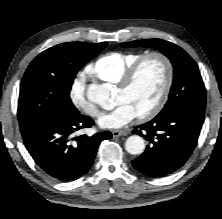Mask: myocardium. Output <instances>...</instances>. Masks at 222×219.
<instances>
[{
    "label": "myocardium",
    "instance_id": "obj_1",
    "mask_svg": "<svg viewBox=\"0 0 222 219\" xmlns=\"http://www.w3.org/2000/svg\"><path fill=\"white\" fill-rule=\"evenodd\" d=\"M150 58H158L162 61L165 67V82L161 94L156 103L146 112L138 115L140 120H149L154 118L160 113L165 106L174 80V66L172 60L164 53L159 51H153L142 55L136 60L122 75L121 79L117 83V87L120 90H127L133 83L139 69Z\"/></svg>",
    "mask_w": 222,
    "mask_h": 219
}]
</instances>
